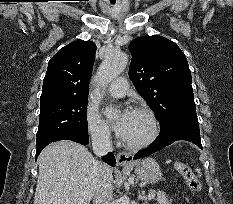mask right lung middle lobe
<instances>
[{
	"mask_svg": "<svg viewBox=\"0 0 233 204\" xmlns=\"http://www.w3.org/2000/svg\"><path fill=\"white\" fill-rule=\"evenodd\" d=\"M88 97L50 99L40 102L36 147L67 134H87Z\"/></svg>",
	"mask_w": 233,
	"mask_h": 204,
	"instance_id": "1",
	"label": "right lung middle lobe"
}]
</instances>
